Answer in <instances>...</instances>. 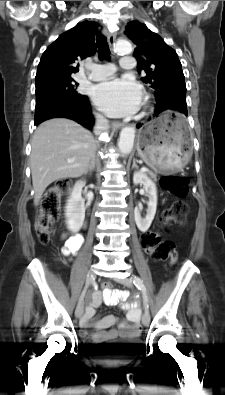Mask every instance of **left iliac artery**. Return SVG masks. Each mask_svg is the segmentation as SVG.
I'll return each mask as SVG.
<instances>
[{"label":"left iliac artery","mask_w":225,"mask_h":395,"mask_svg":"<svg viewBox=\"0 0 225 395\" xmlns=\"http://www.w3.org/2000/svg\"><path fill=\"white\" fill-rule=\"evenodd\" d=\"M131 279H132L134 285L142 292V297H143L145 309L148 310V308H149L148 297H147L146 288L143 284V281L138 276H133Z\"/></svg>","instance_id":"left-iliac-artery-1"}]
</instances>
